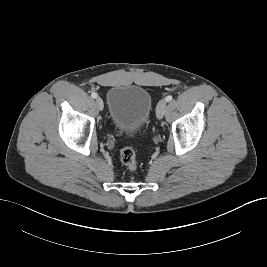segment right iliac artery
Listing matches in <instances>:
<instances>
[{
    "label": "right iliac artery",
    "mask_w": 267,
    "mask_h": 267,
    "mask_svg": "<svg viewBox=\"0 0 267 267\" xmlns=\"http://www.w3.org/2000/svg\"><path fill=\"white\" fill-rule=\"evenodd\" d=\"M91 96H92V98H96V97H97V93L92 92V93H91Z\"/></svg>",
    "instance_id": "right-iliac-artery-1"
}]
</instances>
